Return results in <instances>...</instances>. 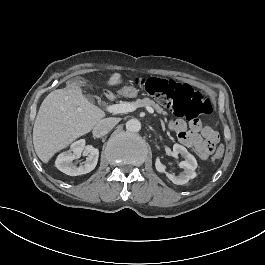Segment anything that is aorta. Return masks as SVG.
<instances>
[{
  "instance_id": "obj_1",
  "label": "aorta",
  "mask_w": 265,
  "mask_h": 265,
  "mask_svg": "<svg viewBox=\"0 0 265 265\" xmlns=\"http://www.w3.org/2000/svg\"><path fill=\"white\" fill-rule=\"evenodd\" d=\"M126 129L130 132H138L141 129V123L138 119H130L126 122Z\"/></svg>"
}]
</instances>
